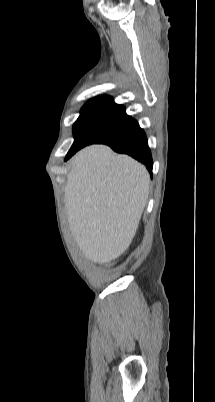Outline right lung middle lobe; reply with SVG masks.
<instances>
[{"label": "right lung middle lobe", "mask_w": 215, "mask_h": 402, "mask_svg": "<svg viewBox=\"0 0 215 402\" xmlns=\"http://www.w3.org/2000/svg\"><path fill=\"white\" fill-rule=\"evenodd\" d=\"M136 121L126 114L123 105L111 97L99 96L89 100L73 126L74 143L71 150L93 143H109L122 136Z\"/></svg>", "instance_id": "right-lung-middle-lobe-1"}]
</instances>
